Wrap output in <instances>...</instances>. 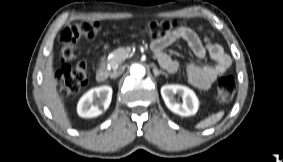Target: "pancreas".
Listing matches in <instances>:
<instances>
[{
	"mask_svg": "<svg viewBox=\"0 0 283 162\" xmlns=\"http://www.w3.org/2000/svg\"><path fill=\"white\" fill-rule=\"evenodd\" d=\"M130 50L128 48L120 47L113 51L112 56L109 59L110 65L113 69L121 65L122 62L128 58Z\"/></svg>",
	"mask_w": 283,
	"mask_h": 162,
	"instance_id": "1",
	"label": "pancreas"
}]
</instances>
